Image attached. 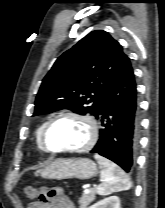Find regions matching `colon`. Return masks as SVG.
Wrapping results in <instances>:
<instances>
[{"label":"colon","mask_w":165,"mask_h":208,"mask_svg":"<svg viewBox=\"0 0 165 208\" xmlns=\"http://www.w3.org/2000/svg\"><path fill=\"white\" fill-rule=\"evenodd\" d=\"M26 198L32 203L38 197V191L34 187L25 188Z\"/></svg>","instance_id":"colon-1"}]
</instances>
